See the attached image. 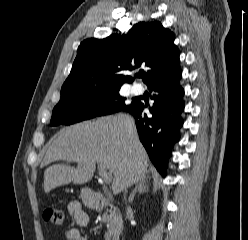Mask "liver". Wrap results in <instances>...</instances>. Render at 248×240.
I'll use <instances>...</instances> for the list:
<instances>
[{
	"mask_svg": "<svg viewBox=\"0 0 248 240\" xmlns=\"http://www.w3.org/2000/svg\"><path fill=\"white\" fill-rule=\"evenodd\" d=\"M56 160L74 161L77 167L58 164L44 172V191L67 185L85 184L96 164L113 175L112 191L119 194L145 179L147 153L139 141L134 120L124 114L85 121L62 129L49 146L43 165Z\"/></svg>",
	"mask_w": 248,
	"mask_h": 240,
	"instance_id": "liver-1",
	"label": "liver"
}]
</instances>
